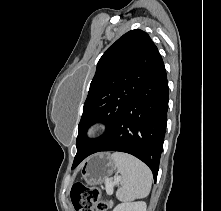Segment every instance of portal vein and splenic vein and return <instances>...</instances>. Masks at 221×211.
Returning a JSON list of instances; mask_svg holds the SVG:
<instances>
[{
    "instance_id": "portal-vein-and-splenic-vein-1",
    "label": "portal vein and splenic vein",
    "mask_w": 221,
    "mask_h": 211,
    "mask_svg": "<svg viewBox=\"0 0 221 211\" xmlns=\"http://www.w3.org/2000/svg\"><path fill=\"white\" fill-rule=\"evenodd\" d=\"M119 180H120V177H119V176H116V177L114 178V181H113V182H110V181H108V180L105 182L106 191H107L108 194H111V193H112L113 187H114L116 184H118Z\"/></svg>"
}]
</instances>
